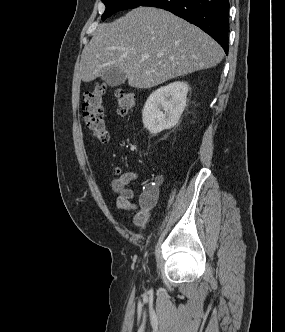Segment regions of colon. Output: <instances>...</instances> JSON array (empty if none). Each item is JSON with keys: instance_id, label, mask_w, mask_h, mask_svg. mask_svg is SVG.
<instances>
[{"instance_id": "1", "label": "colon", "mask_w": 285, "mask_h": 332, "mask_svg": "<svg viewBox=\"0 0 285 332\" xmlns=\"http://www.w3.org/2000/svg\"><path fill=\"white\" fill-rule=\"evenodd\" d=\"M107 91L105 84H95L83 96V118L93 136L102 143L109 141V132L104 114V96ZM117 110L119 114H127L135 105L136 99L133 93L118 88L115 90Z\"/></svg>"}]
</instances>
